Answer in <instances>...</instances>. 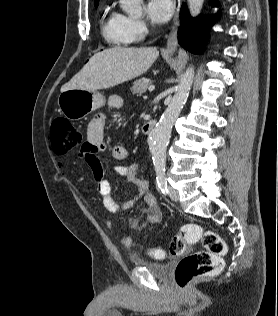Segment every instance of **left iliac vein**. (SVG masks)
Masks as SVG:
<instances>
[{
	"label": "left iliac vein",
	"mask_w": 278,
	"mask_h": 316,
	"mask_svg": "<svg viewBox=\"0 0 278 316\" xmlns=\"http://www.w3.org/2000/svg\"><path fill=\"white\" fill-rule=\"evenodd\" d=\"M169 196L175 202H177L179 200V193L173 187H169Z\"/></svg>",
	"instance_id": "4c4485c4"
}]
</instances>
